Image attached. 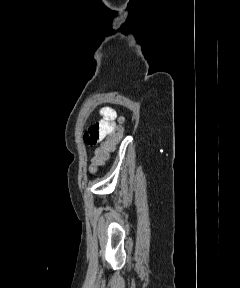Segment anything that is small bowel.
<instances>
[{"mask_svg":"<svg viewBox=\"0 0 240 288\" xmlns=\"http://www.w3.org/2000/svg\"><path fill=\"white\" fill-rule=\"evenodd\" d=\"M101 119L89 127L84 134V142L87 145H95L105 137L112 134L116 128V113L112 108L104 107L100 110Z\"/></svg>","mask_w":240,"mask_h":288,"instance_id":"obj_1","label":"small bowel"}]
</instances>
